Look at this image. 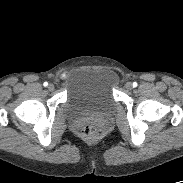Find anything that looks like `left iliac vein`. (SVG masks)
<instances>
[{
    "mask_svg": "<svg viewBox=\"0 0 183 183\" xmlns=\"http://www.w3.org/2000/svg\"><path fill=\"white\" fill-rule=\"evenodd\" d=\"M125 88L128 89V90H131L133 88V84L131 82H127L125 84Z\"/></svg>",
    "mask_w": 183,
    "mask_h": 183,
    "instance_id": "left-iliac-vein-1",
    "label": "left iliac vein"
}]
</instances>
